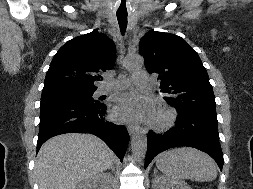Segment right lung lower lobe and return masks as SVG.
<instances>
[{"mask_svg":"<svg viewBox=\"0 0 253 189\" xmlns=\"http://www.w3.org/2000/svg\"><path fill=\"white\" fill-rule=\"evenodd\" d=\"M106 108L100 102L63 99L41 101L37 152L52 136L68 132H88L103 139L122 161L129 135L123 125L107 121Z\"/></svg>","mask_w":253,"mask_h":189,"instance_id":"98d812e1","label":"right lung lower lobe"}]
</instances>
